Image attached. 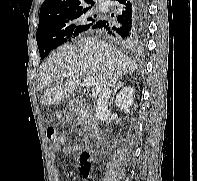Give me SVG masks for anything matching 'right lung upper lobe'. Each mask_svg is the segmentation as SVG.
<instances>
[{
  "label": "right lung upper lobe",
  "mask_w": 197,
  "mask_h": 181,
  "mask_svg": "<svg viewBox=\"0 0 197 181\" xmlns=\"http://www.w3.org/2000/svg\"><path fill=\"white\" fill-rule=\"evenodd\" d=\"M89 4L94 5L93 0H45L40 9L39 20L58 16Z\"/></svg>",
  "instance_id": "obj_1"
}]
</instances>
